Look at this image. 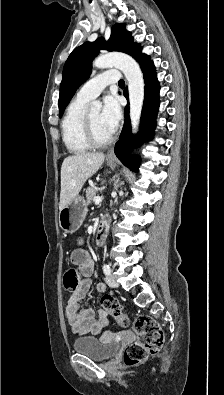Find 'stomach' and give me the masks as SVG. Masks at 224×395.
Here are the masks:
<instances>
[{"label": "stomach", "mask_w": 224, "mask_h": 395, "mask_svg": "<svg viewBox=\"0 0 224 395\" xmlns=\"http://www.w3.org/2000/svg\"><path fill=\"white\" fill-rule=\"evenodd\" d=\"M108 165L113 169L115 163L108 161ZM87 202L83 197L77 196L71 200L63 209L59 211V226L67 233L76 232L82 225L87 214Z\"/></svg>", "instance_id": "1"}]
</instances>
